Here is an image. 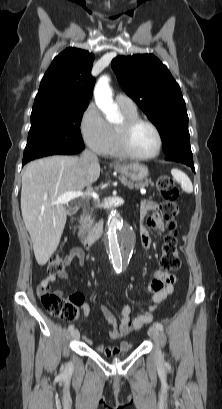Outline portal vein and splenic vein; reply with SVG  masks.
<instances>
[{"instance_id":"18ae733b","label":"portal vein and splenic vein","mask_w":222,"mask_h":409,"mask_svg":"<svg viewBox=\"0 0 222 409\" xmlns=\"http://www.w3.org/2000/svg\"><path fill=\"white\" fill-rule=\"evenodd\" d=\"M145 190H141V194H145ZM85 195L92 196L95 200L99 198L98 194L95 192H82V191H69L61 196H59L56 200L52 201V205L54 204H68L71 200L75 198H79Z\"/></svg>"}]
</instances>
